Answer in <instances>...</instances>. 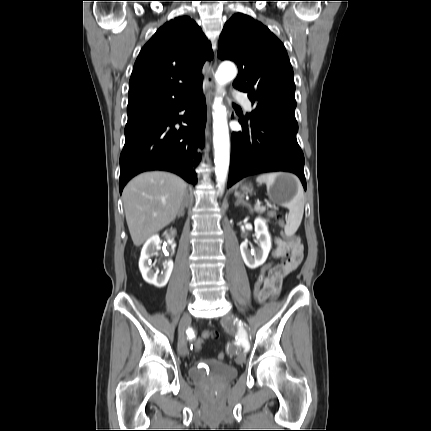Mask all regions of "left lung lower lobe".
Masks as SVG:
<instances>
[{
	"instance_id": "left-lung-lower-lobe-1",
	"label": "left lung lower lobe",
	"mask_w": 431,
	"mask_h": 431,
	"mask_svg": "<svg viewBox=\"0 0 431 431\" xmlns=\"http://www.w3.org/2000/svg\"><path fill=\"white\" fill-rule=\"evenodd\" d=\"M298 124L272 115L252 116L242 131L231 136L228 187L248 175L286 171L295 173L306 189L304 155L298 145Z\"/></svg>"
}]
</instances>
